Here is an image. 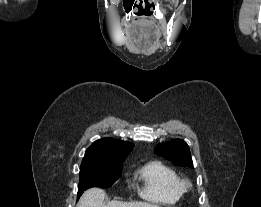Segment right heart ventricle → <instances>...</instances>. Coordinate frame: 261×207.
I'll use <instances>...</instances> for the list:
<instances>
[{"mask_svg":"<svg viewBox=\"0 0 261 207\" xmlns=\"http://www.w3.org/2000/svg\"><path fill=\"white\" fill-rule=\"evenodd\" d=\"M143 182L142 198L163 205H174L180 201L184 190L177 172L161 161H149L138 170Z\"/></svg>","mask_w":261,"mask_h":207,"instance_id":"obj_1","label":"right heart ventricle"}]
</instances>
